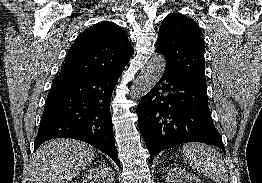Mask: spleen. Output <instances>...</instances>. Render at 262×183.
<instances>
[{"mask_svg": "<svg viewBox=\"0 0 262 183\" xmlns=\"http://www.w3.org/2000/svg\"><path fill=\"white\" fill-rule=\"evenodd\" d=\"M183 160L199 173L217 183H228V171L216 149L200 143L185 144L181 149Z\"/></svg>", "mask_w": 262, "mask_h": 183, "instance_id": "obj_1", "label": "spleen"}]
</instances>
